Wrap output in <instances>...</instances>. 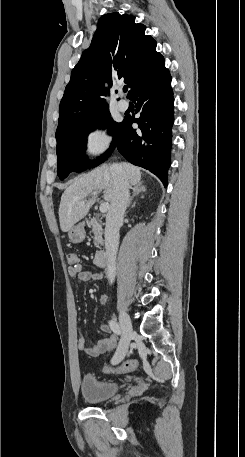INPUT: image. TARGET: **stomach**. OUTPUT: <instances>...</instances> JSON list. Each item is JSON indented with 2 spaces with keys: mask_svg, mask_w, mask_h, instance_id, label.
Listing matches in <instances>:
<instances>
[{
  "mask_svg": "<svg viewBox=\"0 0 245 457\" xmlns=\"http://www.w3.org/2000/svg\"><path fill=\"white\" fill-rule=\"evenodd\" d=\"M68 237L71 243H82L86 237V233L84 231V224L79 222V224H75V226H71L70 231H68Z\"/></svg>",
  "mask_w": 245,
  "mask_h": 457,
  "instance_id": "0dacf381",
  "label": "stomach"
}]
</instances>
